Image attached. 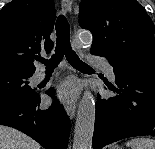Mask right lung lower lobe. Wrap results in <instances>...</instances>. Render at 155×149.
<instances>
[{
  "label": "right lung lower lobe",
  "instance_id": "obj_1",
  "mask_svg": "<svg viewBox=\"0 0 155 149\" xmlns=\"http://www.w3.org/2000/svg\"><path fill=\"white\" fill-rule=\"evenodd\" d=\"M53 95V89L47 92ZM40 97L29 99H1L0 125L20 130L40 143L45 149H66L70 120L63 106L54 101L48 110H40Z\"/></svg>",
  "mask_w": 155,
  "mask_h": 149
}]
</instances>
